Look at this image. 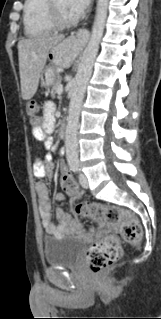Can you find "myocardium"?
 <instances>
[{
  "instance_id": "f54148a6",
  "label": "myocardium",
  "mask_w": 161,
  "mask_h": 319,
  "mask_svg": "<svg viewBox=\"0 0 161 319\" xmlns=\"http://www.w3.org/2000/svg\"><path fill=\"white\" fill-rule=\"evenodd\" d=\"M48 18L54 28L65 29L77 24L78 18L65 19L61 16L57 6V0H47Z\"/></svg>"
}]
</instances>
